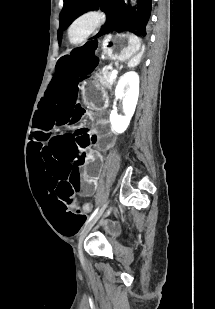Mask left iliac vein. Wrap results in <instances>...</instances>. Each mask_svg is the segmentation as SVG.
<instances>
[{"instance_id":"obj_1","label":"left iliac vein","mask_w":215,"mask_h":309,"mask_svg":"<svg viewBox=\"0 0 215 309\" xmlns=\"http://www.w3.org/2000/svg\"><path fill=\"white\" fill-rule=\"evenodd\" d=\"M105 210V209H104ZM104 211H102L101 214H97L96 216L93 217V219L91 221H89L83 228L82 230V234L79 238L78 241V245H77V251H78V255L82 256L83 255V242L85 237L87 236V234L90 232V230L92 229V227L94 226V224L99 220V218L101 217V215L103 214Z\"/></svg>"}]
</instances>
